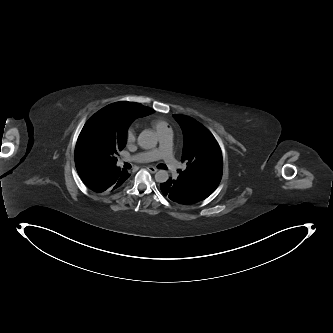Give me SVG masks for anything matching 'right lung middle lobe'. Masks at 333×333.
Instances as JSON below:
<instances>
[{
	"label": "right lung middle lobe",
	"instance_id": "dd1d6c3e",
	"mask_svg": "<svg viewBox=\"0 0 333 333\" xmlns=\"http://www.w3.org/2000/svg\"><path fill=\"white\" fill-rule=\"evenodd\" d=\"M129 122L105 107L84 125L76 144L77 169L102 170L115 166L119 152L126 145Z\"/></svg>",
	"mask_w": 333,
	"mask_h": 333
}]
</instances>
